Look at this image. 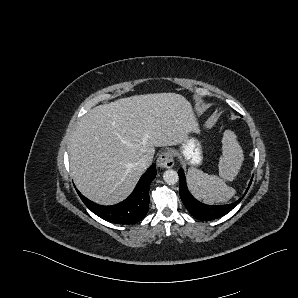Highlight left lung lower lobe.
I'll list each match as a JSON object with an SVG mask.
<instances>
[{
  "label": "left lung lower lobe",
  "mask_w": 298,
  "mask_h": 298,
  "mask_svg": "<svg viewBox=\"0 0 298 298\" xmlns=\"http://www.w3.org/2000/svg\"><path fill=\"white\" fill-rule=\"evenodd\" d=\"M178 175H179V181H180V197L182 199V202L184 206L187 208V210L189 211V213L197 219H200L203 221H210V220L222 217L226 215L228 212H230L244 197L242 196L236 202L227 204V205H220V206L205 205L197 201L189 193L186 185L184 171L182 169H179ZM252 179L253 177L251 178V181L249 183L248 188L246 189L245 194L247 193L251 185Z\"/></svg>",
  "instance_id": "left-lung-lower-lobe-1"
}]
</instances>
